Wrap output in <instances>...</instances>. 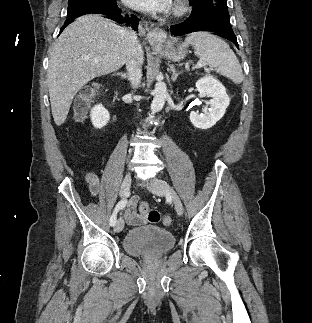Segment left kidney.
Segmentation results:
<instances>
[{"mask_svg": "<svg viewBox=\"0 0 312 323\" xmlns=\"http://www.w3.org/2000/svg\"><path fill=\"white\" fill-rule=\"evenodd\" d=\"M196 88L200 94L210 96L212 100L206 102L207 106H204L202 110L204 114L191 112L190 120L196 128L208 130V128H212V126H215L216 122H219V120L223 118L225 110L230 104V98H228L224 86H222L221 82L215 80L214 76H204V78H200V80L196 82Z\"/></svg>", "mask_w": 312, "mask_h": 323, "instance_id": "obj_1", "label": "left kidney"}]
</instances>
